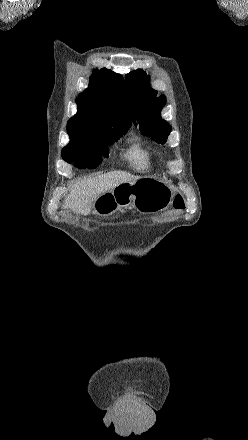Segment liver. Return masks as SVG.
Masks as SVG:
<instances>
[{
	"label": "liver",
	"mask_w": 248,
	"mask_h": 440,
	"mask_svg": "<svg viewBox=\"0 0 248 440\" xmlns=\"http://www.w3.org/2000/svg\"><path fill=\"white\" fill-rule=\"evenodd\" d=\"M140 177L124 171H112L83 180L73 186L65 199L64 208L76 214L87 215L94 208L95 200L122 183H134Z\"/></svg>",
	"instance_id": "liver-1"
}]
</instances>
